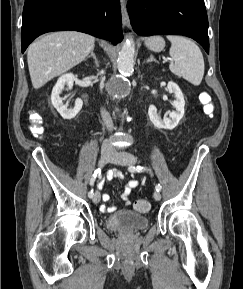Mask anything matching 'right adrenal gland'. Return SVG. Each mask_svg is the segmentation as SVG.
Here are the masks:
<instances>
[{
	"mask_svg": "<svg viewBox=\"0 0 243 289\" xmlns=\"http://www.w3.org/2000/svg\"><path fill=\"white\" fill-rule=\"evenodd\" d=\"M90 57H93L94 63H95V67L96 68L99 67V61L97 60L96 55L94 54V48H92L91 54L89 56H87L86 59H88Z\"/></svg>",
	"mask_w": 243,
	"mask_h": 289,
	"instance_id": "1",
	"label": "right adrenal gland"
}]
</instances>
